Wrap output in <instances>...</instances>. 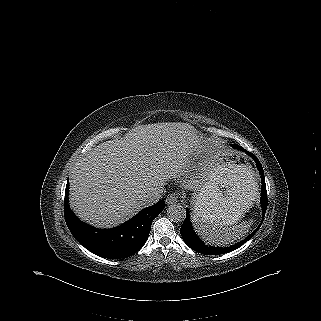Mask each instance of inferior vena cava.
Returning a JSON list of instances; mask_svg holds the SVG:
<instances>
[{"mask_svg":"<svg viewBox=\"0 0 321 321\" xmlns=\"http://www.w3.org/2000/svg\"><path fill=\"white\" fill-rule=\"evenodd\" d=\"M163 192H164V189H158L151 193L145 194L142 197V202L144 203L145 206L153 205L154 203L160 200Z\"/></svg>","mask_w":321,"mask_h":321,"instance_id":"obj_1","label":"inferior vena cava"}]
</instances>
